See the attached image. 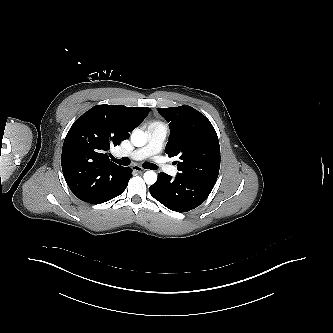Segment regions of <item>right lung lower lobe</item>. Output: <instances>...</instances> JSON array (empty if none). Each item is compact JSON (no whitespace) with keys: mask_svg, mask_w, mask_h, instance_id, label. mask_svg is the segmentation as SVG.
<instances>
[{"mask_svg":"<svg viewBox=\"0 0 333 333\" xmlns=\"http://www.w3.org/2000/svg\"><path fill=\"white\" fill-rule=\"evenodd\" d=\"M131 178V168L124 167L119 175L95 191L85 202L100 204L122 194Z\"/></svg>","mask_w":333,"mask_h":333,"instance_id":"obj_1","label":"right lung lower lobe"}]
</instances>
